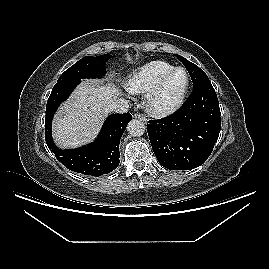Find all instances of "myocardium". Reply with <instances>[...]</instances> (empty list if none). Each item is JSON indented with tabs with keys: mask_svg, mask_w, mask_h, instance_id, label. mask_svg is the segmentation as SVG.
<instances>
[{
	"mask_svg": "<svg viewBox=\"0 0 269 269\" xmlns=\"http://www.w3.org/2000/svg\"><path fill=\"white\" fill-rule=\"evenodd\" d=\"M179 71L184 72L186 81L179 95L167 104L160 103V97L169 80ZM190 88V75L184 67H175L163 76L145 96V108L147 112L156 118L167 117L176 112L184 103Z\"/></svg>",
	"mask_w": 269,
	"mask_h": 269,
	"instance_id": "f54148a6",
	"label": "myocardium"
}]
</instances>
